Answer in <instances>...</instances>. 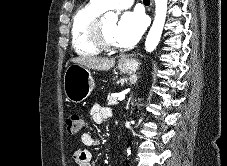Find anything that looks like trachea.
<instances>
[{
	"label": "trachea",
	"instance_id": "3493384b",
	"mask_svg": "<svg viewBox=\"0 0 227 166\" xmlns=\"http://www.w3.org/2000/svg\"><path fill=\"white\" fill-rule=\"evenodd\" d=\"M150 1L149 0H144V4H149Z\"/></svg>",
	"mask_w": 227,
	"mask_h": 166
}]
</instances>
